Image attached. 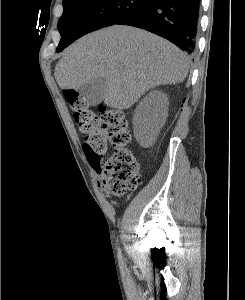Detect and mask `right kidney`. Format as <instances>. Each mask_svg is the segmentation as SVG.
Returning <instances> with one entry per match:
<instances>
[{
	"mask_svg": "<svg viewBox=\"0 0 245 300\" xmlns=\"http://www.w3.org/2000/svg\"><path fill=\"white\" fill-rule=\"evenodd\" d=\"M168 97L153 91L141 100L133 117L134 136L140 145L151 146L168 116Z\"/></svg>",
	"mask_w": 245,
	"mask_h": 300,
	"instance_id": "ca27d5eb",
	"label": "right kidney"
}]
</instances>
